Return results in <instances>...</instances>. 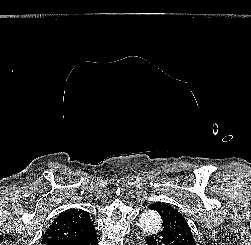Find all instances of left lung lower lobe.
Returning <instances> with one entry per match:
<instances>
[{
    "instance_id": "0a47b994",
    "label": "left lung lower lobe",
    "mask_w": 251,
    "mask_h": 245,
    "mask_svg": "<svg viewBox=\"0 0 251 245\" xmlns=\"http://www.w3.org/2000/svg\"><path fill=\"white\" fill-rule=\"evenodd\" d=\"M148 245H182L169 233H159L155 236L147 238Z\"/></svg>"
}]
</instances>
